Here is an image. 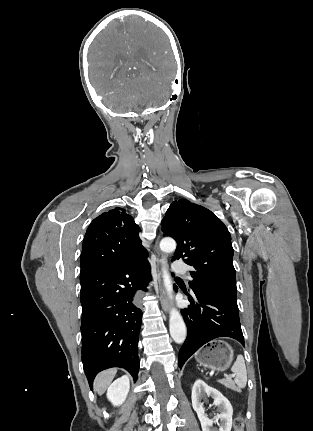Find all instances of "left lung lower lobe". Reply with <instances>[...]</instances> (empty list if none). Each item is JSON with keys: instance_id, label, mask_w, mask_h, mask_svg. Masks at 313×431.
I'll list each match as a JSON object with an SVG mask.
<instances>
[{"instance_id": "obj_1", "label": "left lung lower lobe", "mask_w": 313, "mask_h": 431, "mask_svg": "<svg viewBox=\"0 0 313 431\" xmlns=\"http://www.w3.org/2000/svg\"><path fill=\"white\" fill-rule=\"evenodd\" d=\"M188 299L191 304L181 310L188 333L179 350L180 369L193 353L212 339L231 337L244 345L237 298L217 292L194 291L192 295L188 294Z\"/></svg>"}]
</instances>
